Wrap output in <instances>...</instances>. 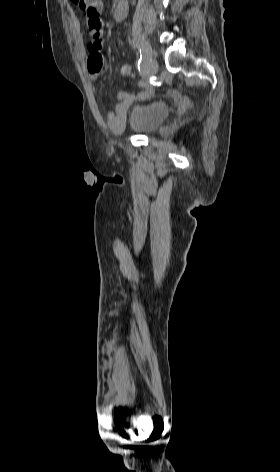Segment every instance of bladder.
Here are the masks:
<instances>
[{
  "label": "bladder",
  "mask_w": 280,
  "mask_h": 472,
  "mask_svg": "<svg viewBox=\"0 0 280 472\" xmlns=\"http://www.w3.org/2000/svg\"><path fill=\"white\" fill-rule=\"evenodd\" d=\"M168 114L169 108L164 102H136L128 109L127 123L137 134H150L164 123Z\"/></svg>",
  "instance_id": "obj_1"
}]
</instances>
